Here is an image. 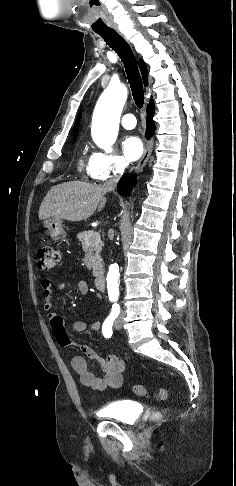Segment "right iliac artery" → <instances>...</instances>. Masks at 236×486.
I'll return each mask as SVG.
<instances>
[{"label":"right iliac artery","mask_w":236,"mask_h":486,"mask_svg":"<svg viewBox=\"0 0 236 486\" xmlns=\"http://www.w3.org/2000/svg\"><path fill=\"white\" fill-rule=\"evenodd\" d=\"M119 314V305L114 304L110 315L106 318L102 326V333L104 337L111 338L113 322Z\"/></svg>","instance_id":"1"}]
</instances>
